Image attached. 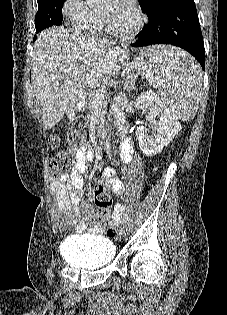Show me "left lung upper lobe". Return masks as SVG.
I'll use <instances>...</instances> for the list:
<instances>
[{"label": "left lung upper lobe", "mask_w": 227, "mask_h": 315, "mask_svg": "<svg viewBox=\"0 0 227 315\" xmlns=\"http://www.w3.org/2000/svg\"><path fill=\"white\" fill-rule=\"evenodd\" d=\"M177 0H139L140 7L147 16L152 15L161 7Z\"/></svg>", "instance_id": "left-lung-upper-lobe-1"}]
</instances>
